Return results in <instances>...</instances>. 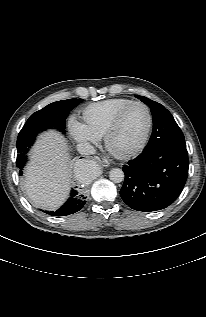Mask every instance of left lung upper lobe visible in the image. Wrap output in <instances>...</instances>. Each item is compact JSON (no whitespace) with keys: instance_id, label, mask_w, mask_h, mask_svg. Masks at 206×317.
Masks as SVG:
<instances>
[{"instance_id":"1","label":"left lung upper lobe","mask_w":206,"mask_h":317,"mask_svg":"<svg viewBox=\"0 0 206 317\" xmlns=\"http://www.w3.org/2000/svg\"><path fill=\"white\" fill-rule=\"evenodd\" d=\"M137 97L150 107L153 115L152 136L144 150L162 145L186 147L183 133L170 112L160 103L154 102L147 97Z\"/></svg>"}]
</instances>
